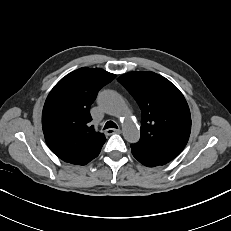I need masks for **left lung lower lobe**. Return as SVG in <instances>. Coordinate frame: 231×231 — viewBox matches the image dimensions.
I'll return each instance as SVG.
<instances>
[{
	"mask_svg": "<svg viewBox=\"0 0 231 231\" xmlns=\"http://www.w3.org/2000/svg\"><path fill=\"white\" fill-rule=\"evenodd\" d=\"M131 151L140 163L148 167L164 165L176 157L168 152L140 148L133 144H131Z\"/></svg>",
	"mask_w": 231,
	"mask_h": 231,
	"instance_id": "obj_1",
	"label": "left lung lower lobe"
}]
</instances>
